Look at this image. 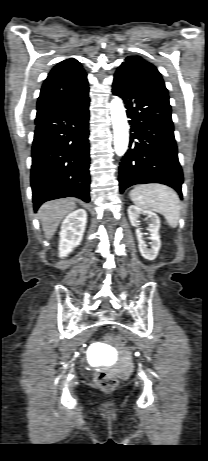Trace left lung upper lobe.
Listing matches in <instances>:
<instances>
[{"instance_id":"left-lung-upper-lobe-1","label":"left lung upper lobe","mask_w":208,"mask_h":461,"mask_svg":"<svg viewBox=\"0 0 208 461\" xmlns=\"http://www.w3.org/2000/svg\"><path fill=\"white\" fill-rule=\"evenodd\" d=\"M116 74H121L138 85L168 93L157 68L140 56L127 57L117 69Z\"/></svg>"}]
</instances>
